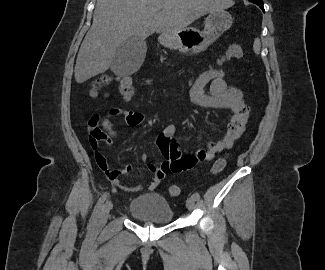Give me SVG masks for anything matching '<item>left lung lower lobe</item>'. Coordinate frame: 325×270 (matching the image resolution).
<instances>
[{
  "mask_svg": "<svg viewBox=\"0 0 325 270\" xmlns=\"http://www.w3.org/2000/svg\"><path fill=\"white\" fill-rule=\"evenodd\" d=\"M253 3L258 5L264 11L263 2H253Z\"/></svg>",
  "mask_w": 325,
  "mask_h": 270,
  "instance_id": "0a47b994",
  "label": "left lung lower lobe"
}]
</instances>
